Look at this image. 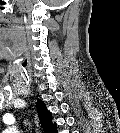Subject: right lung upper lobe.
<instances>
[{"mask_svg":"<svg viewBox=\"0 0 120 133\" xmlns=\"http://www.w3.org/2000/svg\"><path fill=\"white\" fill-rule=\"evenodd\" d=\"M37 112L40 119L41 126L45 133H55L56 124L52 123V114L46 108L44 102L38 99Z\"/></svg>","mask_w":120,"mask_h":133,"instance_id":"obj_1","label":"right lung upper lobe"}]
</instances>
